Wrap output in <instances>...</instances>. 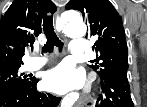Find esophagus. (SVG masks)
Returning a JSON list of instances; mask_svg holds the SVG:
<instances>
[{"label":"esophagus","mask_w":147,"mask_h":107,"mask_svg":"<svg viewBox=\"0 0 147 107\" xmlns=\"http://www.w3.org/2000/svg\"><path fill=\"white\" fill-rule=\"evenodd\" d=\"M59 17H60V9L58 8L55 15H54V18H55V20H58ZM87 102H89V105L93 106V100L92 99L87 100Z\"/></svg>","instance_id":"esophagus-1"}]
</instances>
